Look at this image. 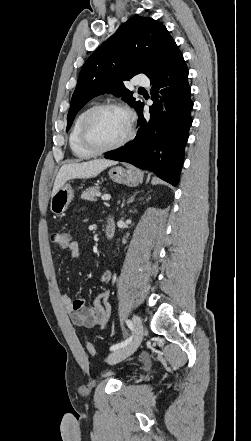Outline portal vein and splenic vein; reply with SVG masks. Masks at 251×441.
I'll return each mask as SVG.
<instances>
[{
  "mask_svg": "<svg viewBox=\"0 0 251 441\" xmlns=\"http://www.w3.org/2000/svg\"><path fill=\"white\" fill-rule=\"evenodd\" d=\"M110 198H111V196L108 195V194H105V195L101 196V199H102L103 201H108V200H110Z\"/></svg>",
  "mask_w": 251,
  "mask_h": 441,
  "instance_id": "18ae733b",
  "label": "portal vein and splenic vein"
}]
</instances>
